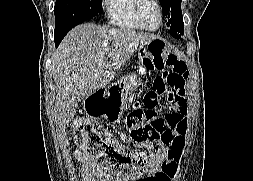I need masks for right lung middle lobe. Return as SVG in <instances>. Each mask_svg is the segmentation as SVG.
Here are the masks:
<instances>
[{
  "label": "right lung middle lobe",
  "instance_id": "obj_1",
  "mask_svg": "<svg viewBox=\"0 0 253 181\" xmlns=\"http://www.w3.org/2000/svg\"><path fill=\"white\" fill-rule=\"evenodd\" d=\"M103 12L101 0H56L54 36L67 33L76 25Z\"/></svg>",
  "mask_w": 253,
  "mask_h": 181
}]
</instances>
